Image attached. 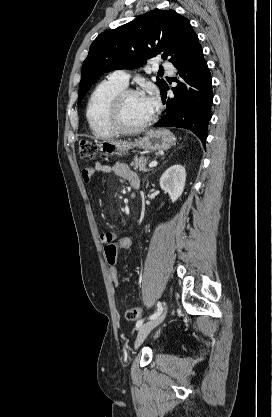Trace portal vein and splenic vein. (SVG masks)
Returning a JSON list of instances; mask_svg holds the SVG:
<instances>
[{"instance_id":"18ae733b","label":"portal vein and splenic vein","mask_w":272,"mask_h":417,"mask_svg":"<svg viewBox=\"0 0 272 417\" xmlns=\"http://www.w3.org/2000/svg\"><path fill=\"white\" fill-rule=\"evenodd\" d=\"M157 161H153V162H151L150 164H149V167L150 168H153V167H156L157 166Z\"/></svg>"}]
</instances>
